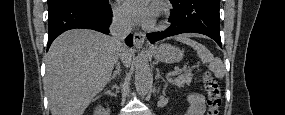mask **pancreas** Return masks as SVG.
Wrapping results in <instances>:
<instances>
[{"instance_id": "obj_1", "label": "pancreas", "mask_w": 285, "mask_h": 115, "mask_svg": "<svg viewBox=\"0 0 285 115\" xmlns=\"http://www.w3.org/2000/svg\"><path fill=\"white\" fill-rule=\"evenodd\" d=\"M193 74L191 72H184L183 74L177 76L175 79L170 80L171 84L178 87H182L185 84L189 85L192 81Z\"/></svg>"}]
</instances>
